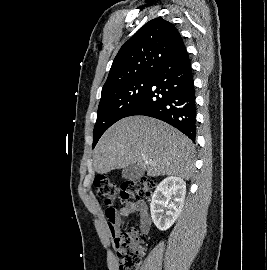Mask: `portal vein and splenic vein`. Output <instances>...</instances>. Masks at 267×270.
Instances as JSON below:
<instances>
[{
  "label": "portal vein and splenic vein",
  "mask_w": 267,
  "mask_h": 270,
  "mask_svg": "<svg viewBox=\"0 0 267 270\" xmlns=\"http://www.w3.org/2000/svg\"><path fill=\"white\" fill-rule=\"evenodd\" d=\"M143 160H144L146 163H149V161L147 160V158L143 157Z\"/></svg>",
  "instance_id": "1"
}]
</instances>
